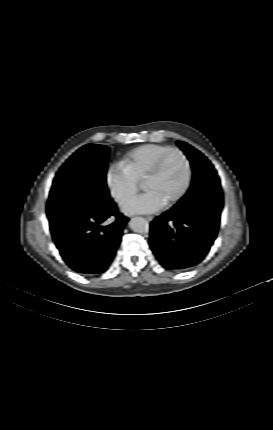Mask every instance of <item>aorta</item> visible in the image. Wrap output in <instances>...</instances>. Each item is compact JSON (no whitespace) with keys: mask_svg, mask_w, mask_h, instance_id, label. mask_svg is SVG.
Returning a JSON list of instances; mask_svg holds the SVG:
<instances>
[{"mask_svg":"<svg viewBox=\"0 0 273 430\" xmlns=\"http://www.w3.org/2000/svg\"><path fill=\"white\" fill-rule=\"evenodd\" d=\"M129 226L136 233H148L149 223L142 217H134L130 220Z\"/></svg>","mask_w":273,"mask_h":430,"instance_id":"762f6f07","label":"aorta"}]
</instances>
